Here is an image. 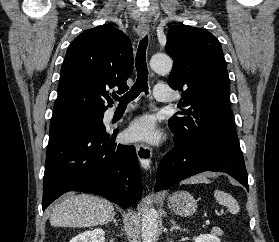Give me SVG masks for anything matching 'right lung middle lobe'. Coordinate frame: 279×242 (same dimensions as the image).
<instances>
[{
    "label": "right lung middle lobe",
    "instance_id": "right-lung-middle-lobe-1",
    "mask_svg": "<svg viewBox=\"0 0 279 242\" xmlns=\"http://www.w3.org/2000/svg\"><path fill=\"white\" fill-rule=\"evenodd\" d=\"M104 113L78 111L52 116L49 141L83 131H93L103 123Z\"/></svg>",
    "mask_w": 279,
    "mask_h": 242
}]
</instances>
